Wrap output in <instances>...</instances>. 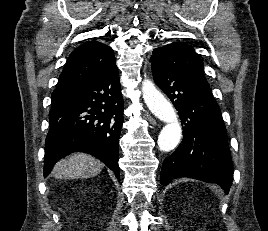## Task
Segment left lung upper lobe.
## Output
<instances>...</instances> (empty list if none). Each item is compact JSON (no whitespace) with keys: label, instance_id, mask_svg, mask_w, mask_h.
<instances>
[{"label":"left lung upper lobe","instance_id":"left-lung-upper-lobe-1","mask_svg":"<svg viewBox=\"0 0 268 231\" xmlns=\"http://www.w3.org/2000/svg\"><path fill=\"white\" fill-rule=\"evenodd\" d=\"M173 70L208 84L201 59L194 49L183 42H173L156 48L151 57Z\"/></svg>","mask_w":268,"mask_h":231}]
</instances>
